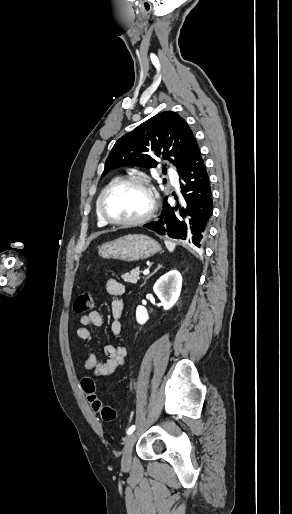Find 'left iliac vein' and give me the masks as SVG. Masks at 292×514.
<instances>
[{
    "instance_id": "left-iliac-vein-1",
    "label": "left iliac vein",
    "mask_w": 292,
    "mask_h": 514,
    "mask_svg": "<svg viewBox=\"0 0 292 514\" xmlns=\"http://www.w3.org/2000/svg\"><path fill=\"white\" fill-rule=\"evenodd\" d=\"M137 433L133 432L128 435L124 442L123 455H122V468L129 469L132 461V448L136 441Z\"/></svg>"
}]
</instances>
